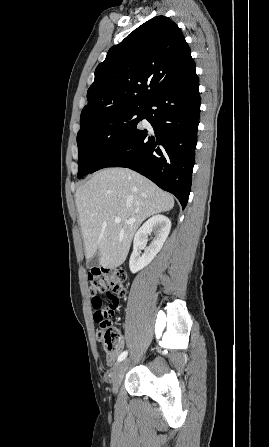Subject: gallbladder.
<instances>
[{"label":"gallbladder","instance_id":"obj_1","mask_svg":"<svg viewBox=\"0 0 269 447\" xmlns=\"http://www.w3.org/2000/svg\"><path fill=\"white\" fill-rule=\"evenodd\" d=\"M99 265V253H95L94 257H92L91 261H87V267H98Z\"/></svg>","mask_w":269,"mask_h":447}]
</instances>
